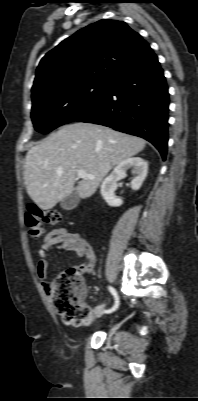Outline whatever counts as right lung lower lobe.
I'll use <instances>...</instances> for the list:
<instances>
[{
  "label": "right lung lower lobe",
  "mask_w": 198,
  "mask_h": 401,
  "mask_svg": "<svg viewBox=\"0 0 198 401\" xmlns=\"http://www.w3.org/2000/svg\"><path fill=\"white\" fill-rule=\"evenodd\" d=\"M169 95L152 49L108 82L101 99L75 121L142 137L166 158Z\"/></svg>",
  "instance_id": "obj_1"
}]
</instances>
